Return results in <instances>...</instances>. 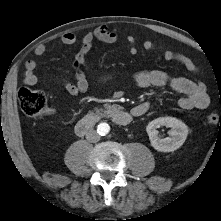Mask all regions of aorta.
<instances>
[{
	"mask_svg": "<svg viewBox=\"0 0 221 221\" xmlns=\"http://www.w3.org/2000/svg\"><path fill=\"white\" fill-rule=\"evenodd\" d=\"M110 131V126L107 123H100L97 127V132L99 133V135H106L108 134Z\"/></svg>",
	"mask_w": 221,
	"mask_h": 221,
	"instance_id": "aorta-1",
	"label": "aorta"
}]
</instances>
